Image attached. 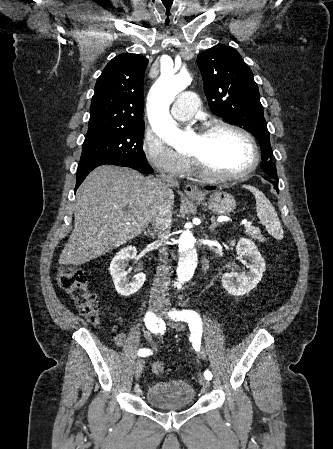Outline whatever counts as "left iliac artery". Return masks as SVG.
Segmentation results:
<instances>
[{"instance_id": "left-iliac-artery-1", "label": "left iliac artery", "mask_w": 333, "mask_h": 449, "mask_svg": "<svg viewBox=\"0 0 333 449\" xmlns=\"http://www.w3.org/2000/svg\"><path fill=\"white\" fill-rule=\"evenodd\" d=\"M171 319L175 321H185L188 323L191 337L190 340L193 343L195 351H199L201 348V337H202V319L199 314L192 310H182L176 311L172 310L169 312ZM204 376L206 379H212V373L209 370H205Z\"/></svg>"}]
</instances>
